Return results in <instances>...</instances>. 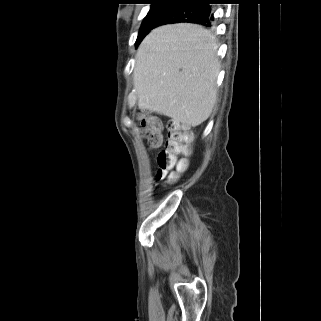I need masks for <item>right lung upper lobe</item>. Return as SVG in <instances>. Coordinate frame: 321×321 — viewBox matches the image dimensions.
Here are the masks:
<instances>
[{
	"instance_id": "cb5924a9",
	"label": "right lung upper lobe",
	"mask_w": 321,
	"mask_h": 321,
	"mask_svg": "<svg viewBox=\"0 0 321 321\" xmlns=\"http://www.w3.org/2000/svg\"><path fill=\"white\" fill-rule=\"evenodd\" d=\"M149 1H153V2H155V1H172L175 3L174 5L176 6V5L185 4V3L193 1V0H149Z\"/></svg>"
}]
</instances>
